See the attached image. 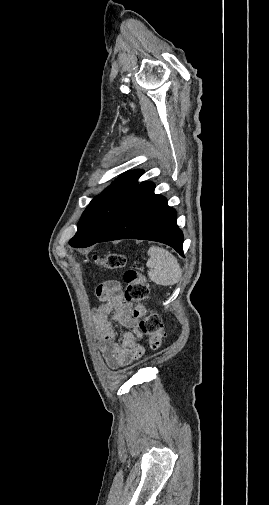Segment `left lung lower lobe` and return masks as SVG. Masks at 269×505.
<instances>
[{"label": "left lung lower lobe", "instance_id": "1", "mask_svg": "<svg viewBox=\"0 0 269 505\" xmlns=\"http://www.w3.org/2000/svg\"><path fill=\"white\" fill-rule=\"evenodd\" d=\"M154 187L152 182H141L110 229L97 242L127 238L151 240L167 244L183 255L184 237L176 224V212L163 196L154 194Z\"/></svg>", "mask_w": 269, "mask_h": 505}]
</instances>
